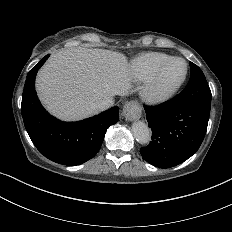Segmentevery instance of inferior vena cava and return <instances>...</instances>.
<instances>
[{"label":"inferior vena cava","instance_id":"obj_1","mask_svg":"<svg viewBox=\"0 0 232 232\" xmlns=\"http://www.w3.org/2000/svg\"><path fill=\"white\" fill-rule=\"evenodd\" d=\"M114 103H115L114 97L110 96V97H106V98L102 99L101 101H99L97 103H94L93 107L95 109L104 110L106 108L113 106Z\"/></svg>","mask_w":232,"mask_h":232}]
</instances>
